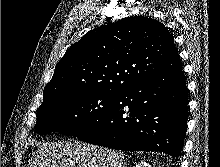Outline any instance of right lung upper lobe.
Returning <instances> with one entry per match:
<instances>
[{"label":"right lung upper lobe","instance_id":"cb5924a9","mask_svg":"<svg viewBox=\"0 0 220 167\" xmlns=\"http://www.w3.org/2000/svg\"><path fill=\"white\" fill-rule=\"evenodd\" d=\"M181 66L167 27L144 16L126 17L88 32L73 44L56 65L43 100L85 88L120 92Z\"/></svg>","mask_w":220,"mask_h":167}]
</instances>
